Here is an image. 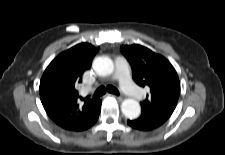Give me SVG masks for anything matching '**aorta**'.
Listing matches in <instances>:
<instances>
[{
	"label": "aorta",
	"mask_w": 225,
	"mask_h": 155,
	"mask_svg": "<svg viewBox=\"0 0 225 155\" xmlns=\"http://www.w3.org/2000/svg\"><path fill=\"white\" fill-rule=\"evenodd\" d=\"M94 71L101 76H108L114 72V63L107 56L96 57L93 61ZM121 111L125 117L135 119L141 113L140 104L134 99H125L121 104Z\"/></svg>",
	"instance_id": "1"
}]
</instances>
